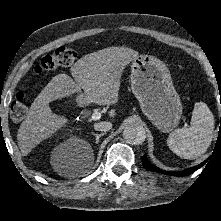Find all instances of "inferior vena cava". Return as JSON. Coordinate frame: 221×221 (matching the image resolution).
<instances>
[{
	"instance_id": "inferior-vena-cava-1",
	"label": "inferior vena cava",
	"mask_w": 221,
	"mask_h": 221,
	"mask_svg": "<svg viewBox=\"0 0 221 221\" xmlns=\"http://www.w3.org/2000/svg\"><path fill=\"white\" fill-rule=\"evenodd\" d=\"M94 129L97 131H109L110 129H112V123L111 122H98L94 124Z\"/></svg>"
}]
</instances>
